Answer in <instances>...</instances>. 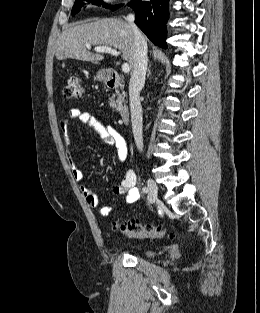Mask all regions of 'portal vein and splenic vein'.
Masks as SVG:
<instances>
[{"mask_svg":"<svg viewBox=\"0 0 260 313\" xmlns=\"http://www.w3.org/2000/svg\"><path fill=\"white\" fill-rule=\"evenodd\" d=\"M86 47H87L88 49H91V46H90L89 44H86ZM94 50H95L96 52H105V53H109V54H112V55H114V56H118V55H119V52H117L115 49H112V48L109 47V46H96V47L94 48ZM122 71H123L124 73H128V72L130 71V66H129L128 63H124V64L122 65Z\"/></svg>","mask_w":260,"mask_h":313,"instance_id":"portal-vein-and-splenic-vein-1","label":"portal vein and splenic vein"}]
</instances>
